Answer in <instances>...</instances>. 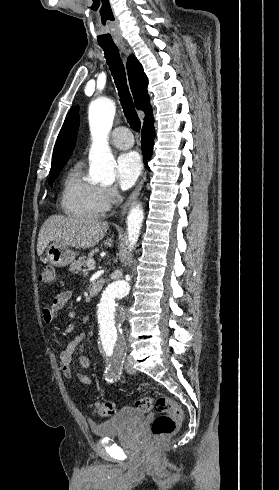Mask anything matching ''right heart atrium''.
<instances>
[{
	"mask_svg": "<svg viewBox=\"0 0 279 490\" xmlns=\"http://www.w3.org/2000/svg\"><path fill=\"white\" fill-rule=\"evenodd\" d=\"M118 198V191L114 186H98L94 203L97 214L103 216L110 211Z\"/></svg>",
	"mask_w": 279,
	"mask_h": 490,
	"instance_id": "d8ad5b80",
	"label": "right heart atrium"
}]
</instances>
